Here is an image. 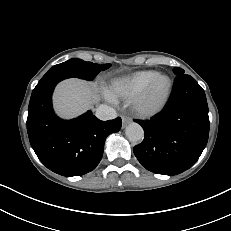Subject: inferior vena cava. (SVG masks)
I'll return each instance as SVG.
<instances>
[{
    "instance_id": "obj_1",
    "label": "inferior vena cava",
    "mask_w": 231,
    "mask_h": 231,
    "mask_svg": "<svg viewBox=\"0 0 231 231\" xmlns=\"http://www.w3.org/2000/svg\"><path fill=\"white\" fill-rule=\"evenodd\" d=\"M95 115L98 119L103 120V121L114 119L117 117V113L115 109L108 105H100L96 109Z\"/></svg>"
}]
</instances>
